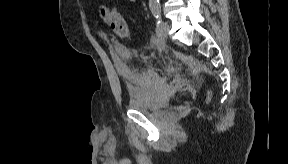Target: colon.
Here are the masks:
<instances>
[{"instance_id":"colon-1","label":"colon","mask_w":288,"mask_h":164,"mask_svg":"<svg viewBox=\"0 0 288 164\" xmlns=\"http://www.w3.org/2000/svg\"><path fill=\"white\" fill-rule=\"evenodd\" d=\"M102 17L108 23L111 30L124 37L127 36L126 21L116 8L104 9ZM208 96H210V93H208Z\"/></svg>"}]
</instances>
